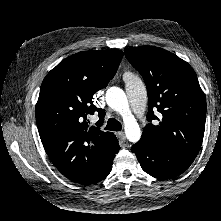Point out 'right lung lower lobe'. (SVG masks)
<instances>
[{
  "label": "right lung lower lobe",
  "instance_id": "1",
  "mask_svg": "<svg viewBox=\"0 0 221 221\" xmlns=\"http://www.w3.org/2000/svg\"><path fill=\"white\" fill-rule=\"evenodd\" d=\"M120 148V147H119ZM119 148L117 149V152L115 154L118 153L119 151ZM115 157V155H114ZM113 157V159H114ZM113 159L112 161L110 162V164L107 166V168L102 172L100 173L98 176L94 177V178H91V179H87L85 181H81V182H78L79 184H83V185H86V184H92V183H96V182H99L101 180H103L104 178L107 177V175L110 173L111 169H112V164H113Z\"/></svg>",
  "mask_w": 221,
  "mask_h": 221
}]
</instances>
